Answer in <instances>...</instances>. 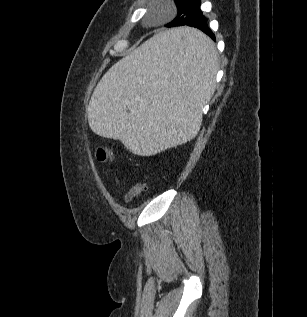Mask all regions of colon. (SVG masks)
Masks as SVG:
<instances>
[{
    "mask_svg": "<svg viewBox=\"0 0 307 317\" xmlns=\"http://www.w3.org/2000/svg\"><path fill=\"white\" fill-rule=\"evenodd\" d=\"M95 157L101 163L112 162L114 160L112 150L107 147H97L95 150ZM147 189L148 184L144 182L133 185L124 195V201L130 202L132 199L136 198Z\"/></svg>",
    "mask_w": 307,
    "mask_h": 317,
    "instance_id": "1",
    "label": "colon"
}]
</instances>
